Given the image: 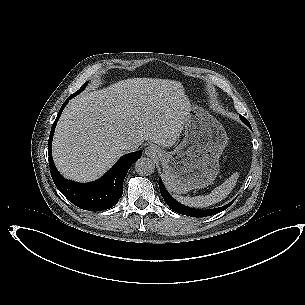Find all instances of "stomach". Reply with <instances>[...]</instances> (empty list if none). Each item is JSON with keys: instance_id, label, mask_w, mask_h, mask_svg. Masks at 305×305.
Masks as SVG:
<instances>
[{"instance_id": "1", "label": "stomach", "mask_w": 305, "mask_h": 305, "mask_svg": "<svg viewBox=\"0 0 305 305\" xmlns=\"http://www.w3.org/2000/svg\"><path fill=\"white\" fill-rule=\"evenodd\" d=\"M227 140L226 131L216 118L202 107L190 106L183 140L160 157L168 190L185 194L209 186L219 173V158Z\"/></svg>"}]
</instances>
